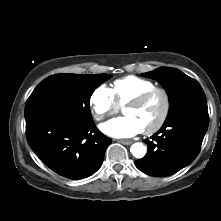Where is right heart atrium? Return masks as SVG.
Here are the masks:
<instances>
[{"instance_id": "1", "label": "right heart atrium", "mask_w": 221, "mask_h": 221, "mask_svg": "<svg viewBox=\"0 0 221 221\" xmlns=\"http://www.w3.org/2000/svg\"><path fill=\"white\" fill-rule=\"evenodd\" d=\"M89 104L92 116L97 121L105 119L119 109L112 89L105 84H101L93 90L90 95Z\"/></svg>"}]
</instances>
